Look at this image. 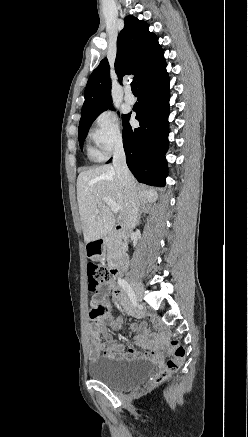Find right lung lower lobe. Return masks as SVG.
<instances>
[{
  "instance_id": "1",
  "label": "right lung lower lobe",
  "mask_w": 248,
  "mask_h": 437,
  "mask_svg": "<svg viewBox=\"0 0 248 437\" xmlns=\"http://www.w3.org/2000/svg\"><path fill=\"white\" fill-rule=\"evenodd\" d=\"M138 90V103L133 109L140 127L132 129L129 124L130 114L123 125L126 162L139 182L164 186L167 176L165 154L168 149L170 99L165 61L138 85Z\"/></svg>"
}]
</instances>
